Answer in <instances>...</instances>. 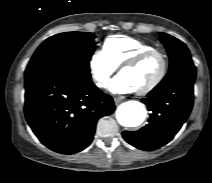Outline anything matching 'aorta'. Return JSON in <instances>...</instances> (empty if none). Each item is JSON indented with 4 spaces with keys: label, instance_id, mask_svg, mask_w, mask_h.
<instances>
[{
    "label": "aorta",
    "instance_id": "aorta-1",
    "mask_svg": "<svg viewBox=\"0 0 212 183\" xmlns=\"http://www.w3.org/2000/svg\"><path fill=\"white\" fill-rule=\"evenodd\" d=\"M116 117L122 126L137 127L145 120L146 110L138 101H127L118 107Z\"/></svg>",
    "mask_w": 212,
    "mask_h": 183
}]
</instances>
